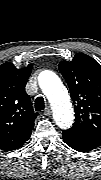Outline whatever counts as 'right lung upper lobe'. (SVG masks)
Here are the masks:
<instances>
[{"label":"right lung upper lobe","mask_w":101,"mask_h":180,"mask_svg":"<svg viewBox=\"0 0 101 180\" xmlns=\"http://www.w3.org/2000/svg\"><path fill=\"white\" fill-rule=\"evenodd\" d=\"M32 64L18 69L13 63L0 66V148L5 151L21 147L30 137L38 113L32 108L25 85Z\"/></svg>","instance_id":"right-lung-upper-lobe-1"}]
</instances>
